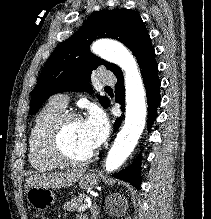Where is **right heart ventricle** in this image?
<instances>
[{"mask_svg": "<svg viewBox=\"0 0 211 219\" xmlns=\"http://www.w3.org/2000/svg\"><path fill=\"white\" fill-rule=\"evenodd\" d=\"M63 112V106L50 101L34 119L28 138V158L31 166L39 172L51 171L61 166L45 149L44 135L49 124Z\"/></svg>", "mask_w": 211, "mask_h": 219, "instance_id": "e07e8e85", "label": "right heart ventricle"}]
</instances>
